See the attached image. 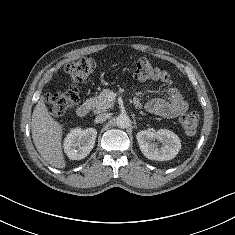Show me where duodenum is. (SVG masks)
<instances>
[{"label":"duodenum","mask_w":235,"mask_h":235,"mask_svg":"<svg viewBox=\"0 0 235 235\" xmlns=\"http://www.w3.org/2000/svg\"><path fill=\"white\" fill-rule=\"evenodd\" d=\"M134 105L137 106V102L134 100ZM90 111V104L88 102H83L77 107V115L79 117H85Z\"/></svg>","instance_id":"1"}]
</instances>
